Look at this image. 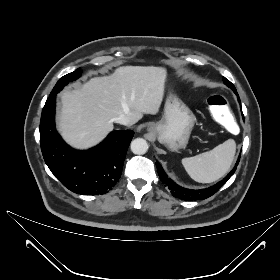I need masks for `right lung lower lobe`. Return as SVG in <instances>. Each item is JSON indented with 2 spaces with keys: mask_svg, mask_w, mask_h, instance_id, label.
<instances>
[{
  "mask_svg": "<svg viewBox=\"0 0 280 280\" xmlns=\"http://www.w3.org/2000/svg\"><path fill=\"white\" fill-rule=\"evenodd\" d=\"M56 94L50 95L41 115L40 144L43 158L56 178L69 190L82 195L105 194L121 176L133 131H115L88 151L69 147L55 129Z\"/></svg>",
  "mask_w": 280,
  "mask_h": 280,
  "instance_id": "98d812e1",
  "label": "right lung lower lobe"
}]
</instances>
